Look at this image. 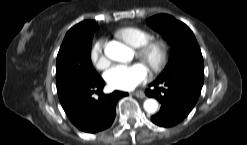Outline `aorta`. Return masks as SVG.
<instances>
[{"instance_id":"762f6f07","label":"aorta","mask_w":247,"mask_h":145,"mask_svg":"<svg viewBox=\"0 0 247 145\" xmlns=\"http://www.w3.org/2000/svg\"><path fill=\"white\" fill-rule=\"evenodd\" d=\"M104 53L109 59L119 62H126L132 56L131 49L117 41L106 43ZM143 107L147 113L154 114L158 111L159 105L155 99L149 98L144 101Z\"/></svg>"}]
</instances>
